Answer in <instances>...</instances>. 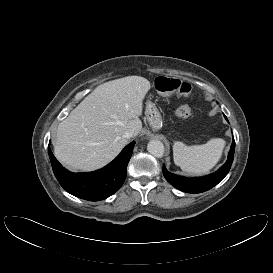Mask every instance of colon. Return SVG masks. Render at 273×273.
Segmentation results:
<instances>
[{
  "label": "colon",
  "instance_id": "colon-1",
  "mask_svg": "<svg viewBox=\"0 0 273 273\" xmlns=\"http://www.w3.org/2000/svg\"><path fill=\"white\" fill-rule=\"evenodd\" d=\"M155 85L158 91L168 95L189 98L192 92V87L189 83L175 78L158 77ZM176 113L181 118H188L192 114L190 107L187 105L179 106Z\"/></svg>",
  "mask_w": 273,
  "mask_h": 273
}]
</instances>
